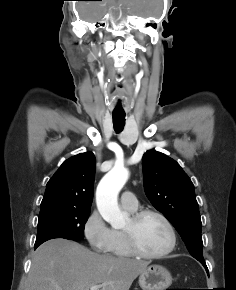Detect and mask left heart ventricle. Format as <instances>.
Returning a JSON list of instances; mask_svg holds the SVG:
<instances>
[{
  "instance_id": "b2bd125f",
  "label": "left heart ventricle",
  "mask_w": 236,
  "mask_h": 290,
  "mask_svg": "<svg viewBox=\"0 0 236 290\" xmlns=\"http://www.w3.org/2000/svg\"><path fill=\"white\" fill-rule=\"evenodd\" d=\"M132 225L130 219L124 230L130 229ZM135 232L140 248L146 253H159L165 250L170 243L167 227L158 217L153 215L143 218L137 225Z\"/></svg>"
}]
</instances>
